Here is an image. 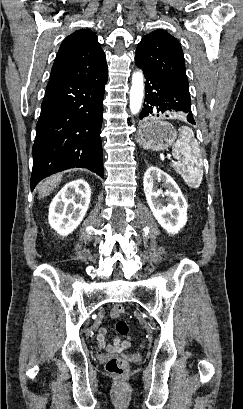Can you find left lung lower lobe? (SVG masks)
Returning <instances> with one entry per match:
<instances>
[{
  "mask_svg": "<svg viewBox=\"0 0 243 409\" xmlns=\"http://www.w3.org/2000/svg\"><path fill=\"white\" fill-rule=\"evenodd\" d=\"M145 102L140 119L147 116H160L170 112H180L188 122L195 124L191 112L189 87L182 86L161 75L144 72ZM167 116V115H166Z\"/></svg>",
  "mask_w": 243,
  "mask_h": 409,
  "instance_id": "obj_1",
  "label": "left lung lower lobe"
}]
</instances>
